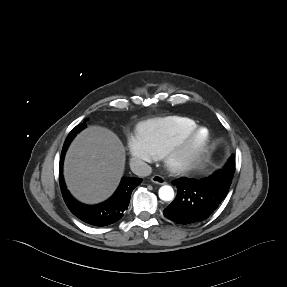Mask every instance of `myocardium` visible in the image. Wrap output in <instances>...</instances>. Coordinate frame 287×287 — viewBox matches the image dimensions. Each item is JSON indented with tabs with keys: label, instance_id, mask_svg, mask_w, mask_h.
I'll return each instance as SVG.
<instances>
[{
	"label": "myocardium",
	"instance_id": "f54148a6",
	"mask_svg": "<svg viewBox=\"0 0 287 287\" xmlns=\"http://www.w3.org/2000/svg\"><path fill=\"white\" fill-rule=\"evenodd\" d=\"M201 131H206V139L198 148L194 142ZM212 142V135L206 127H197L187 136L176 142L164 155L166 169L175 175L195 169L206 156Z\"/></svg>",
	"mask_w": 287,
	"mask_h": 287
}]
</instances>
